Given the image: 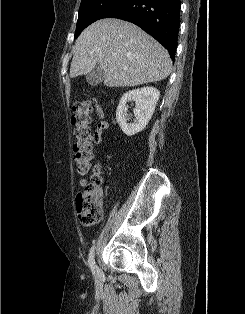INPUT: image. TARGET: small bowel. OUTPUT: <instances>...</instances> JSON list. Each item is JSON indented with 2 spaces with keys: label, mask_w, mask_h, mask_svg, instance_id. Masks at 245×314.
I'll return each mask as SVG.
<instances>
[{
  "label": "small bowel",
  "mask_w": 245,
  "mask_h": 314,
  "mask_svg": "<svg viewBox=\"0 0 245 314\" xmlns=\"http://www.w3.org/2000/svg\"><path fill=\"white\" fill-rule=\"evenodd\" d=\"M97 113L102 116L103 111L100 106L96 107ZM108 129V124L105 121H101L97 127V130L94 134L95 143L100 145L104 136V132Z\"/></svg>",
  "instance_id": "c3829d8e"
}]
</instances>
